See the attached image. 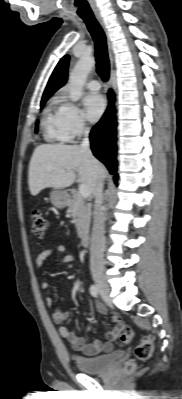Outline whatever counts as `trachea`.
Segmentation results:
<instances>
[{"instance_id":"1","label":"trachea","mask_w":182,"mask_h":399,"mask_svg":"<svg viewBox=\"0 0 182 399\" xmlns=\"http://www.w3.org/2000/svg\"><path fill=\"white\" fill-rule=\"evenodd\" d=\"M82 4L86 5L85 2H82ZM80 17L86 23L87 28L95 42L97 73L100 75L103 81H107L109 78V59L107 54L105 33L93 14H83L80 15Z\"/></svg>"}]
</instances>
